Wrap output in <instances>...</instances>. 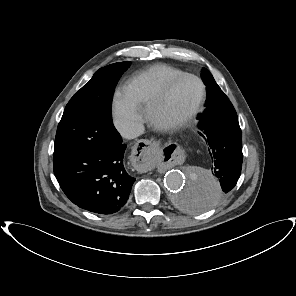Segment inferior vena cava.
Listing matches in <instances>:
<instances>
[{"label":"inferior vena cava","instance_id":"602c4592","mask_svg":"<svg viewBox=\"0 0 296 296\" xmlns=\"http://www.w3.org/2000/svg\"><path fill=\"white\" fill-rule=\"evenodd\" d=\"M144 133V126L132 123L120 129V134L125 139H134Z\"/></svg>","mask_w":296,"mask_h":296}]
</instances>
